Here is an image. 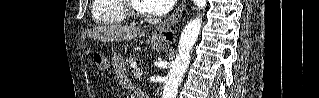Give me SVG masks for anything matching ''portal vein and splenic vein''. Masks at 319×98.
Returning a JSON list of instances; mask_svg holds the SVG:
<instances>
[{
    "instance_id": "18ae733b",
    "label": "portal vein and splenic vein",
    "mask_w": 319,
    "mask_h": 98,
    "mask_svg": "<svg viewBox=\"0 0 319 98\" xmlns=\"http://www.w3.org/2000/svg\"><path fill=\"white\" fill-rule=\"evenodd\" d=\"M133 73L136 77H139L142 75V70H140V68H136V65H133Z\"/></svg>"
}]
</instances>
